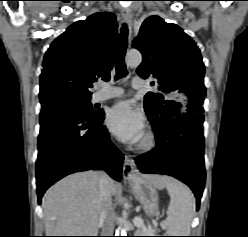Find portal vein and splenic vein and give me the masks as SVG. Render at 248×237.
Segmentation results:
<instances>
[{
	"label": "portal vein and splenic vein",
	"mask_w": 248,
	"mask_h": 237,
	"mask_svg": "<svg viewBox=\"0 0 248 237\" xmlns=\"http://www.w3.org/2000/svg\"><path fill=\"white\" fill-rule=\"evenodd\" d=\"M133 223H134L135 226H138V227L144 226L143 220L141 218H139V217H135L133 219Z\"/></svg>",
	"instance_id": "18ae733b"
}]
</instances>
